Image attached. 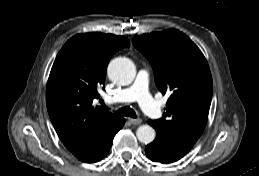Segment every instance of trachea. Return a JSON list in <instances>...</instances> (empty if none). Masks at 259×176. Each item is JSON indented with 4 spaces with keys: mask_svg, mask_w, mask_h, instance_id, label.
I'll return each mask as SVG.
<instances>
[{
    "mask_svg": "<svg viewBox=\"0 0 259 176\" xmlns=\"http://www.w3.org/2000/svg\"><path fill=\"white\" fill-rule=\"evenodd\" d=\"M102 105H104V102H101ZM117 114L122 115V116H129V117H136V113L135 111L130 108V107H122L119 110L116 111Z\"/></svg>",
    "mask_w": 259,
    "mask_h": 176,
    "instance_id": "trachea-1",
    "label": "trachea"
}]
</instances>
